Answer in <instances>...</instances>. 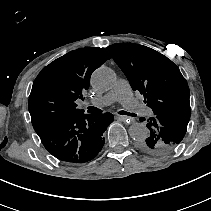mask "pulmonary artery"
Listing matches in <instances>:
<instances>
[{
    "label": "pulmonary artery",
    "instance_id": "obj_1",
    "mask_svg": "<svg viewBox=\"0 0 211 211\" xmlns=\"http://www.w3.org/2000/svg\"><path fill=\"white\" fill-rule=\"evenodd\" d=\"M119 100L122 107L128 111H133L135 116L145 119L149 117L151 110L146 104L139 102L133 92L130 91L129 84L125 80H119L113 90L108 94L96 98L91 105L97 108H103Z\"/></svg>",
    "mask_w": 211,
    "mask_h": 211
}]
</instances>
